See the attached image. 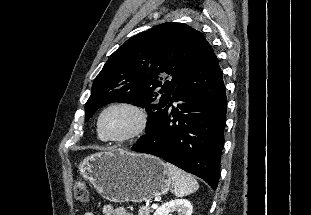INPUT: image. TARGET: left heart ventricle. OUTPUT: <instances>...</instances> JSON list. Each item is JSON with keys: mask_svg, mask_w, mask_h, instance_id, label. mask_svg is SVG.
I'll return each instance as SVG.
<instances>
[{"mask_svg": "<svg viewBox=\"0 0 311 215\" xmlns=\"http://www.w3.org/2000/svg\"><path fill=\"white\" fill-rule=\"evenodd\" d=\"M137 115L128 108L117 107L107 111L102 118V130L106 136H122L137 125Z\"/></svg>", "mask_w": 311, "mask_h": 215, "instance_id": "1", "label": "left heart ventricle"}]
</instances>
